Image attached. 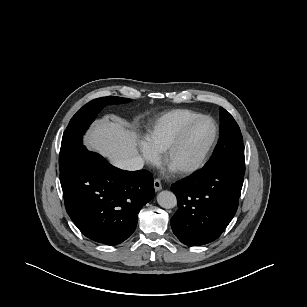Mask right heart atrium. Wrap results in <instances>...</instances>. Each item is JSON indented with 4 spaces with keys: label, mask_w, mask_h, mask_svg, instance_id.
<instances>
[{
    "label": "right heart atrium",
    "mask_w": 307,
    "mask_h": 307,
    "mask_svg": "<svg viewBox=\"0 0 307 307\" xmlns=\"http://www.w3.org/2000/svg\"><path fill=\"white\" fill-rule=\"evenodd\" d=\"M140 151L146 162L153 164L158 161V153L154 151L146 141L140 143Z\"/></svg>",
    "instance_id": "obj_1"
}]
</instances>
